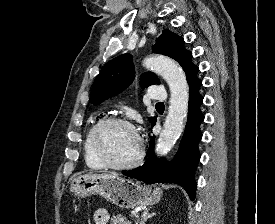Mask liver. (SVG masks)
Listing matches in <instances>:
<instances>
[{"label":"liver","instance_id":"liver-1","mask_svg":"<svg viewBox=\"0 0 275 224\" xmlns=\"http://www.w3.org/2000/svg\"><path fill=\"white\" fill-rule=\"evenodd\" d=\"M110 174H112V175H114V176H118V174H117V173H110Z\"/></svg>","mask_w":275,"mask_h":224}]
</instances>
